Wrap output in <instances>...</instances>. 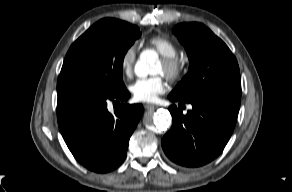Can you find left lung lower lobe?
Masks as SVG:
<instances>
[{
  "label": "left lung lower lobe",
  "mask_w": 292,
  "mask_h": 192,
  "mask_svg": "<svg viewBox=\"0 0 292 192\" xmlns=\"http://www.w3.org/2000/svg\"><path fill=\"white\" fill-rule=\"evenodd\" d=\"M172 102L189 103L192 110L183 114L169 107L171 129L161 143L166 156L185 167H199L215 159L227 144L236 124L241 97L205 95L182 100L169 95Z\"/></svg>",
  "instance_id": "1"
}]
</instances>
